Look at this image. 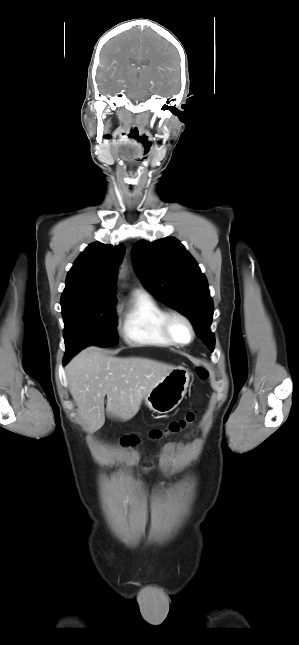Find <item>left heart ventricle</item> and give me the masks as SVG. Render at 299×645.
<instances>
[{"mask_svg":"<svg viewBox=\"0 0 299 645\" xmlns=\"http://www.w3.org/2000/svg\"><path fill=\"white\" fill-rule=\"evenodd\" d=\"M171 327H172V331H173L174 335L176 336V338L178 340L187 341L189 339L190 333H189V329L185 325V323H183L180 320H175V321H173Z\"/></svg>","mask_w":299,"mask_h":645,"instance_id":"left-heart-ventricle-1","label":"left heart ventricle"}]
</instances>
